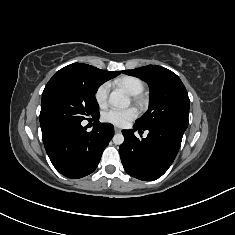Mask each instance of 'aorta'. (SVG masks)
Instances as JSON below:
<instances>
[{"label": "aorta", "instance_id": "aorta-1", "mask_svg": "<svg viewBox=\"0 0 235 235\" xmlns=\"http://www.w3.org/2000/svg\"><path fill=\"white\" fill-rule=\"evenodd\" d=\"M109 102L115 107L126 108L130 105L129 97L121 89L113 90L109 96ZM113 142L116 145H121L124 142V136L121 133L113 136Z\"/></svg>", "mask_w": 235, "mask_h": 235}]
</instances>
